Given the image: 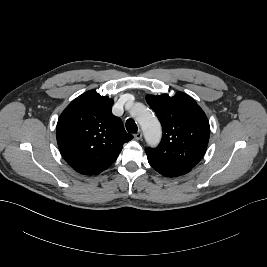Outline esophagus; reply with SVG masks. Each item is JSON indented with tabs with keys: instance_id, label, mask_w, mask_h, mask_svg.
<instances>
[{
	"instance_id": "34e87169",
	"label": "esophagus",
	"mask_w": 267,
	"mask_h": 267,
	"mask_svg": "<svg viewBox=\"0 0 267 267\" xmlns=\"http://www.w3.org/2000/svg\"><path fill=\"white\" fill-rule=\"evenodd\" d=\"M134 138L136 140H141L142 139V132L141 131H138L135 135H134Z\"/></svg>"
}]
</instances>
